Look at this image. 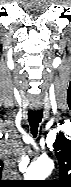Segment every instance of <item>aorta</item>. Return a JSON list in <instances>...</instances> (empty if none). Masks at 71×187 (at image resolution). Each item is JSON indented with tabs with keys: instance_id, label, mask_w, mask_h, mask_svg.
Returning <instances> with one entry per match:
<instances>
[{
	"instance_id": "obj_1",
	"label": "aorta",
	"mask_w": 71,
	"mask_h": 187,
	"mask_svg": "<svg viewBox=\"0 0 71 187\" xmlns=\"http://www.w3.org/2000/svg\"><path fill=\"white\" fill-rule=\"evenodd\" d=\"M54 163L51 159H39L30 164L26 171L27 180H45L52 172Z\"/></svg>"
}]
</instances>
